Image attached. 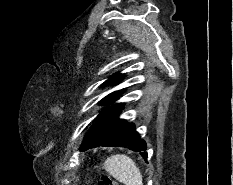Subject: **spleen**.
Here are the masks:
<instances>
[{
	"label": "spleen",
	"instance_id": "spleen-1",
	"mask_svg": "<svg viewBox=\"0 0 233 185\" xmlns=\"http://www.w3.org/2000/svg\"><path fill=\"white\" fill-rule=\"evenodd\" d=\"M104 169L116 180L125 185H143L142 174L135 162L125 154L108 157Z\"/></svg>",
	"mask_w": 233,
	"mask_h": 185
}]
</instances>
